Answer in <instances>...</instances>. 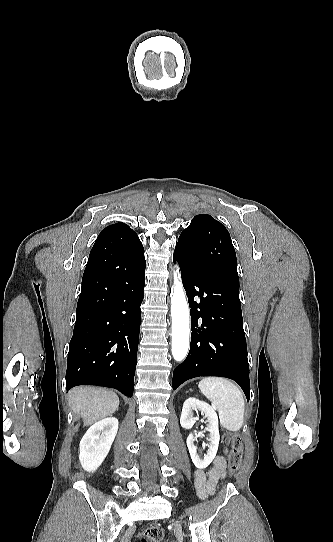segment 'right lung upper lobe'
I'll list each match as a JSON object with an SVG mask.
<instances>
[{
    "label": "right lung upper lobe",
    "instance_id": "right-lung-upper-lobe-1",
    "mask_svg": "<svg viewBox=\"0 0 333 542\" xmlns=\"http://www.w3.org/2000/svg\"><path fill=\"white\" fill-rule=\"evenodd\" d=\"M138 240L137 234L128 225L121 222L115 223L100 232L90 253L112 249Z\"/></svg>",
    "mask_w": 333,
    "mask_h": 542
}]
</instances>
